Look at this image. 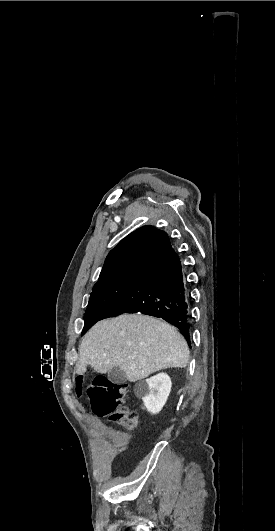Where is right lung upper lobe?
I'll return each instance as SVG.
<instances>
[{
	"mask_svg": "<svg viewBox=\"0 0 275 531\" xmlns=\"http://www.w3.org/2000/svg\"><path fill=\"white\" fill-rule=\"evenodd\" d=\"M170 246L164 231L147 225L126 236L112 249L99 278L133 267H146Z\"/></svg>",
	"mask_w": 275,
	"mask_h": 531,
	"instance_id": "obj_1",
	"label": "right lung upper lobe"
}]
</instances>
